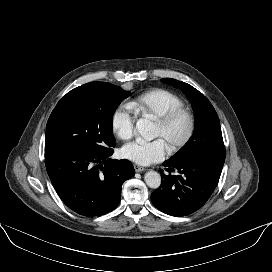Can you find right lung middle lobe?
Listing matches in <instances>:
<instances>
[{"instance_id": "1", "label": "right lung middle lobe", "mask_w": 272, "mask_h": 272, "mask_svg": "<svg viewBox=\"0 0 272 272\" xmlns=\"http://www.w3.org/2000/svg\"><path fill=\"white\" fill-rule=\"evenodd\" d=\"M85 98L56 106L46 127L45 159L72 150L98 153L115 146L112 117L130 93L107 82H90Z\"/></svg>"}]
</instances>
